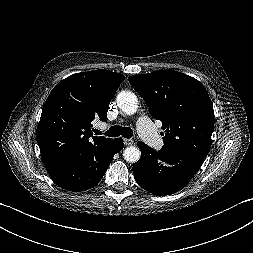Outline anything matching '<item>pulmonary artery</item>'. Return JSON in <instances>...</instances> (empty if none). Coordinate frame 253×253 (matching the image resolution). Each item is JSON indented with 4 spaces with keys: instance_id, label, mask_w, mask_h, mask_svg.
<instances>
[{
    "instance_id": "1",
    "label": "pulmonary artery",
    "mask_w": 253,
    "mask_h": 253,
    "mask_svg": "<svg viewBox=\"0 0 253 253\" xmlns=\"http://www.w3.org/2000/svg\"><path fill=\"white\" fill-rule=\"evenodd\" d=\"M137 130L139 135L152 147L158 148L162 145L161 137L157 134L151 120L147 116L139 118Z\"/></svg>"
}]
</instances>
